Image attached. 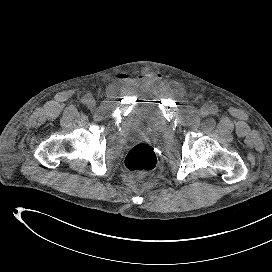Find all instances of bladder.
<instances>
[{"label":"bladder","instance_id":"obj_1","mask_svg":"<svg viewBox=\"0 0 272 272\" xmlns=\"http://www.w3.org/2000/svg\"><path fill=\"white\" fill-rule=\"evenodd\" d=\"M127 129L130 135L159 142L168 133V122L159 106L153 103H141L129 116Z\"/></svg>","mask_w":272,"mask_h":272}]
</instances>
